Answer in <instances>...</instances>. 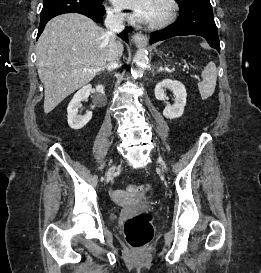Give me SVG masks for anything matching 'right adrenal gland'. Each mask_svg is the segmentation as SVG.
<instances>
[{
  "instance_id": "2a0ac1e0",
  "label": "right adrenal gland",
  "mask_w": 261,
  "mask_h": 273,
  "mask_svg": "<svg viewBox=\"0 0 261 273\" xmlns=\"http://www.w3.org/2000/svg\"><path fill=\"white\" fill-rule=\"evenodd\" d=\"M106 69H107L108 72H111V71H112V69L108 68L107 66H105V67L102 69V71H105Z\"/></svg>"
}]
</instances>
